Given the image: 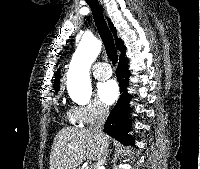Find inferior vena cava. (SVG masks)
I'll use <instances>...</instances> for the list:
<instances>
[{"instance_id":"obj_1","label":"inferior vena cava","mask_w":200,"mask_h":169,"mask_svg":"<svg viewBox=\"0 0 200 169\" xmlns=\"http://www.w3.org/2000/svg\"><path fill=\"white\" fill-rule=\"evenodd\" d=\"M108 114H109L108 107H106V106H104L102 104H99L98 113H97V121L95 122V124H93L90 127V130H92L93 132H95L99 136H104L103 126H104L105 121H106V119L108 117ZM106 156H107V146H105V148H104L103 158L98 160V163H97L98 166H101V165L105 164Z\"/></svg>"}]
</instances>
